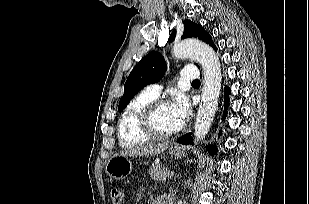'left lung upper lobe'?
<instances>
[{"instance_id": "left-lung-upper-lobe-1", "label": "left lung upper lobe", "mask_w": 309, "mask_h": 204, "mask_svg": "<svg viewBox=\"0 0 309 204\" xmlns=\"http://www.w3.org/2000/svg\"><path fill=\"white\" fill-rule=\"evenodd\" d=\"M175 35L176 30L172 31L169 38L170 42L175 39ZM191 37L198 38L217 50L212 41V37L203 29L201 25L190 20H185L182 39ZM165 71L166 62L160 53L152 51L143 57L130 72L127 81L125 82L124 94L120 99L118 111H122L130 100L136 95V93L143 87L148 84L158 82L164 76Z\"/></svg>"}]
</instances>
